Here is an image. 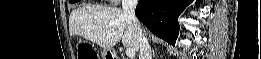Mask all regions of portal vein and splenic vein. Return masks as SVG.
Here are the masks:
<instances>
[{
  "mask_svg": "<svg viewBox=\"0 0 261 59\" xmlns=\"http://www.w3.org/2000/svg\"><path fill=\"white\" fill-rule=\"evenodd\" d=\"M126 55L129 58H133L135 56V50L133 48H127Z\"/></svg>",
  "mask_w": 261,
  "mask_h": 59,
  "instance_id": "portal-vein-and-splenic-vein-1",
  "label": "portal vein and splenic vein"
}]
</instances>
